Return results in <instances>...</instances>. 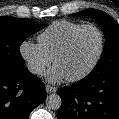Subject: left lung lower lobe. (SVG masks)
<instances>
[{
  "mask_svg": "<svg viewBox=\"0 0 119 119\" xmlns=\"http://www.w3.org/2000/svg\"><path fill=\"white\" fill-rule=\"evenodd\" d=\"M58 119H119V70L59 89Z\"/></svg>",
  "mask_w": 119,
  "mask_h": 119,
  "instance_id": "left-lung-lower-lobe-1",
  "label": "left lung lower lobe"
}]
</instances>
